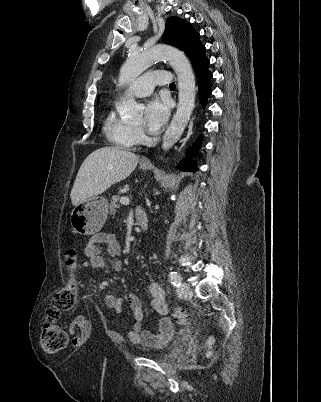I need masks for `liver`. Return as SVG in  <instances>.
Instances as JSON below:
<instances>
[{"instance_id": "6515ba94", "label": "liver", "mask_w": 321, "mask_h": 402, "mask_svg": "<svg viewBox=\"0 0 321 402\" xmlns=\"http://www.w3.org/2000/svg\"><path fill=\"white\" fill-rule=\"evenodd\" d=\"M139 157L118 147L93 151L82 163L71 190L74 206L99 195L113 184L127 178L136 168Z\"/></svg>"}]
</instances>
